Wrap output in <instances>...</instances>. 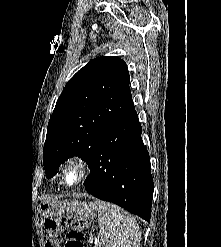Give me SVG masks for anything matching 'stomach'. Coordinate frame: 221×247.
I'll use <instances>...</instances> for the list:
<instances>
[{
  "label": "stomach",
  "mask_w": 221,
  "mask_h": 247,
  "mask_svg": "<svg viewBox=\"0 0 221 247\" xmlns=\"http://www.w3.org/2000/svg\"><path fill=\"white\" fill-rule=\"evenodd\" d=\"M38 212L44 217H56L66 213L75 212L84 219L94 216L93 204L88 205L86 202H67V201H50L43 200L38 204Z\"/></svg>",
  "instance_id": "stomach-1"
}]
</instances>
